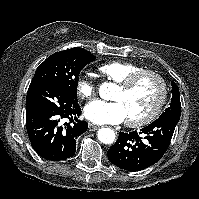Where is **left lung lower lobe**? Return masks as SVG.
I'll list each match as a JSON object with an SVG mask.
<instances>
[{"label": "left lung lower lobe", "instance_id": "1", "mask_svg": "<svg viewBox=\"0 0 199 199\" xmlns=\"http://www.w3.org/2000/svg\"><path fill=\"white\" fill-rule=\"evenodd\" d=\"M179 120L158 118L140 132L119 133L108 150V159L115 166L136 172L157 163L169 147Z\"/></svg>", "mask_w": 199, "mask_h": 199}]
</instances>
